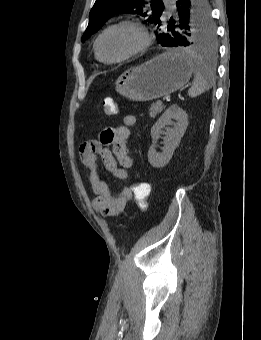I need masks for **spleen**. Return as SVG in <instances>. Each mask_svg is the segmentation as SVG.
<instances>
[{"label": "spleen", "instance_id": "3e777b00", "mask_svg": "<svg viewBox=\"0 0 261 340\" xmlns=\"http://www.w3.org/2000/svg\"><path fill=\"white\" fill-rule=\"evenodd\" d=\"M193 69L195 78L192 87L188 91L190 97L202 94L214 84V77L206 67L196 62L193 64Z\"/></svg>", "mask_w": 261, "mask_h": 340}]
</instances>
